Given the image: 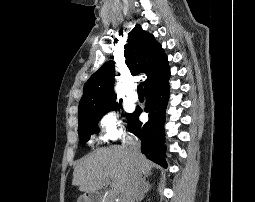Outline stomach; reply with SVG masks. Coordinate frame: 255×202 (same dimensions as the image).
<instances>
[{"instance_id":"obj_1","label":"stomach","mask_w":255,"mask_h":202,"mask_svg":"<svg viewBox=\"0 0 255 202\" xmlns=\"http://www.w3.org/2000/svg\"><path fill=\"white\" fill-rule=\"evenodd\" d=\"M77 202H93L92 196L90 194H83L78 198Z\"/></svg>"}]
</instances>
